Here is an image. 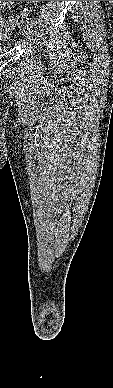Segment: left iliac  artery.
I'll list each match as a JSON object with an SVG mask.
<instances>
[{"instance_id": "left-iliac-artery-1", "label": "left iliac artery", "mask_w": 113, "mask_h": 388, "mask_svg": "<svg viewBox=\"0 0 113 388\" xmlns=\"http://www.w3.org/2000/svg\"><path fill=\"white\" fill-rule=\"evenodd\" d=\"M27 23L30 25H33L35 23V21L32 18H28Z\"/></svg>"}]
</instances>
